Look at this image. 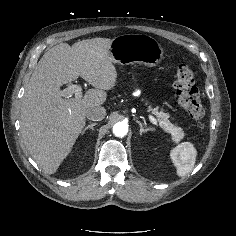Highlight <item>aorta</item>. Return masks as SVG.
Segmentation results:
<instances>
[{
	"mask_svg": "<svg viewBox=\"0 0 236 236\" xmlns=\"http://www.w3.org/2000/svg\"><path fill=\"white\" fill-rule=\"evenodd\" d=\"M113 133L117 137H123L128 133V126L124 122H118L113 126Z\"/></svg>",
	"mask_w": 236,
	"mask_h": 236,
	"instance_id": "1",
	"label": "aorta"
}]
</instances>
